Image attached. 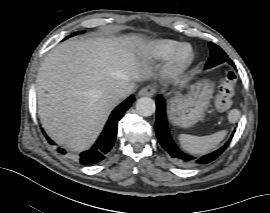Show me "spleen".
I'll return each instance as SVG.
<instances>
[{"label":"spleen","mask_w":270,"mask_h":213,"mask_svg":"<svg viewBox=\"0 0 270 213\" xmlns=\"http://www.w3.org/2000/svg\"><path fill=\"white\" fill-rule=\"evenodd\" d=\"M226 134V130H221L208 136L180 134L179 141L186 151L193 154H205L215 148L225 138Z\"/></svg>","instance_id":"spleen-1"}]
</instances>
